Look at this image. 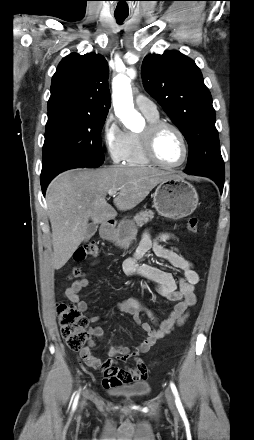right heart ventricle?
I'll list each match as a JSON object with an SVG mask.
<instances>
[{"mask_svg":"<svg viewBox=\"0 0 254 440\" xmlns=\"http://www.w3.org/2000/svg\"><path fill=\"white\" fill-rule=\"evenodd\" d=\"M148 122H154L159 120V115H146ZM125 163L128 166L144 167L149 166L152 163L146 157L143 145L141 133H130V145L125 159Z\"/></svg>","mask_w":254,"mask_h":440,"instance_id":"e07e8e85","label":"right heart ventricle"}]
</instances>
